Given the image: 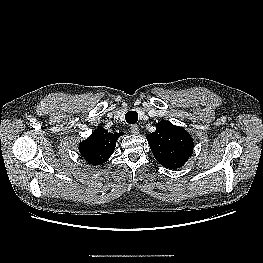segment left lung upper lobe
Returning <instances> with one entry per match:
<instances>
[{"instance_id":"obj_1","label":"left lung upper lobe","mask_w":263,"mask_h":263,"mask_svg":"<svg viewBox=\"0 0 263 263\" xmlns=\"http://www.w3.org/2000/svg\"><path fill=\"white\" fill-rule=\"evenodd\" d=\"M146 137L155 159L166 168L183 166L193 153L194 144L189 133L171 122H158L156 131Z\"/></svg>"}]
</instances>
